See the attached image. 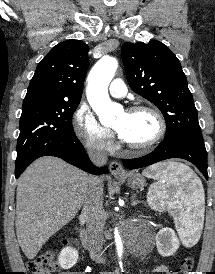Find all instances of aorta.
I'll return each mask as SVG.
<instances>
[{
	"instance_id": "1",
	"label": "aorta",
	"mask_w": 215,
	"mask_h": 274,
	"mask_svg": "<svg viewBox=\"0 0 215 274\" xmlns=\"http://www.w3.org/2000/svg\"><path fill=\"white\" fill-rule=\"evenodd\" d=\"M118 67V61L109 56L102 57L92 68L89 74L87 99L94 112L98 115L101 124L107 125L114 121L115 115L122 107L113 103L108 94V85ZM116 244L119 257L122 256V242L116 234Z\"/></svg>"
}]
</instances>
